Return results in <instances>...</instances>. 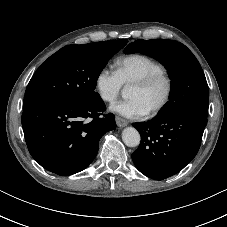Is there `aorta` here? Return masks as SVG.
Instances as JSON below:
<instances>
[{
	"label": "aorta",
	"mask_w": 227,
	"mask_h": 227,
	"mask_svg": "<svg viewBox=\"0 0 227 227\" xmlns=\"http://www.w3.org/2000/svg\"><path fill=\"white\" fill-rule=\"evenodd\" d=\"M125 92H123V95ZM122 140L128 147H136L140 144V134L134 127H127L122 132Z\"/></svg>",
	"instance_id": "aorta-1"
}]
</instances>
